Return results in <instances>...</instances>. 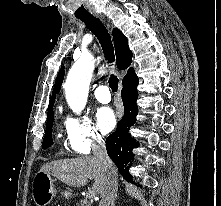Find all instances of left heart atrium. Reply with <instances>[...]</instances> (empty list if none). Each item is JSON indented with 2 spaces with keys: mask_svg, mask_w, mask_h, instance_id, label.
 Listing matches in <instances>:
<instances>
[{
  "mask_svg": "<svg viewBox=\"0 0 221 206\" xmlns=\"http://www.w3.org/2000/svg\"><path fill=\"white\" fill-rule=\"evenodd\" d=\"M97 125L104 134L110 132L116 125V117L109 107H101L96 111Z\"/></svg>",
  "mask_w": 221,
  "mask_h": 206,
  "instance_id": "left-heart-atrium-1",
  "label": "left heart atrium"
}]
</instances>
